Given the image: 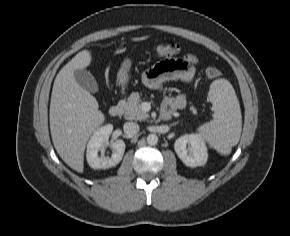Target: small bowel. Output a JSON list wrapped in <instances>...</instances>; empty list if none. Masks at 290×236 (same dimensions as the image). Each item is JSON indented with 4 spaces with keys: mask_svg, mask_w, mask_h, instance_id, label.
I'll return each mask as SVG.
<instances>
[{
    "mask_svg": "<svg viewBox=\"0 0 290 236\" xmlns=\"http://www.w3.org/2000/svg\"><path fill=\"white\" fill-rule=\"evenodd\" d=\"M198 60L194 55H185L179 59L164 60L146 70L141 76V82L150 89L162 90L164 84L170 80L192 82L196 77L195 66ZM187 104L184 94H165L161 107V114L183 109Z\"/></svg>",
    "mask_w": 290,
    "mask_h": 236,
    "instance_id": "obj_1",
    "label": "small bowel"
}]
</instances>
